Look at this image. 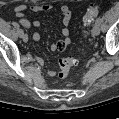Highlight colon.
Listing matches in <instances>:
<instances>
[{
  "instance_id": "obj_1",
  "label": "colon",
  "mask_w": 119,
  "mask_h": 119,
  "mask_svg": "<svg viewBox=\"0 0 119 119\" xmlns=\"http://www.w3.org/2000/svg\"><path fill=\"white\" fill-rule=\"evenodd\" d=\"M99 12H100V8L98 6L90 5L83 18L84 23L86 25L92 23L95 20V18L98 16ZM75 63H76V59L72 56L60 59L59 61L60 70L58 76L62 79L66 78L68 76L70 69L75 65Z\"/></svg>"
}]
</instances>
